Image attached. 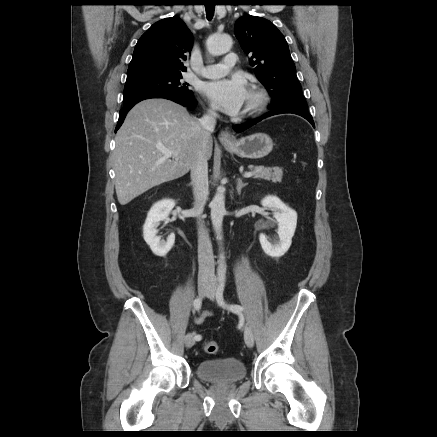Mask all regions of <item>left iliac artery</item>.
I'll list each match as a JSON object with an SVG mask.
<instances>
[{"mask_svg":"<svg viewBox=\"0 0 437 437\" xmlns=\"http://www.w3.org/2000/svg\"><path fill=\"white\" fill-rule=\"evenodd\" d=\"M225 289V278L221 277L219 279V285L216 292V300L218 304L224 308L231 310L232 312H241L243 311V307L236 304H226L223 298V292Z\"/></svg>","mask_w":437,"mask_h":437,"instance_id":"44dca946","label":"left iliac artery"}]
</instances>
